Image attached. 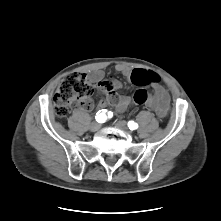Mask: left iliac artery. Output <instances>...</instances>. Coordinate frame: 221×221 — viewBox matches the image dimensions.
<instances>
[{
    "instance_id": "1",
    "label": "left iliac artery",
    "mask_w": 221,
    "mask_h": 221,
    "mask_svg": "<svg viewBox=\"0 0 221 221\" xmlns=\"http://www.w3.org/2000/svg\"><path fill=\"white\" fill-rule=\"evenodd\" d=\"M128 127H129L130 130H135V129L138 128V124L134 121H129L128 122Z\"/></svg>"
}]
</instances>
